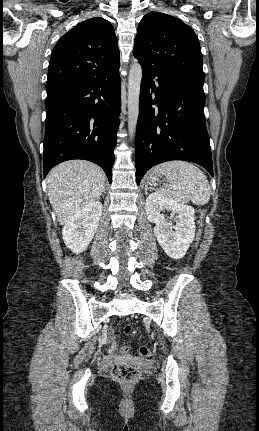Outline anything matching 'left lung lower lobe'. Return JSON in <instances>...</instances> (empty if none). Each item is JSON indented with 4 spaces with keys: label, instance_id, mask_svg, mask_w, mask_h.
Returning a JSON list of instances; mask_svg holds the SVG:
<instances>
[{
    "label": "left lung lower lobe",
    "instance_id": "0a47b994",
    "mask_svg": "<svg viewBox=\"0 0 259 431\" xmlns=\"http://www.w3.org/2000/svg\"><path fill=\"white\" fill-rule=\"evenodd\" d=\"M139 63L143 74L136 129L137 184L152 166L170 160L198 163L213 176L203 86ZM155 104L157 108L152 107Z\"/></svg>",
    "mask_w": 259,
    "mask_h": 431
}]
</instances>
